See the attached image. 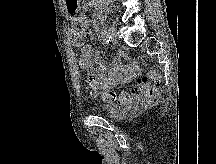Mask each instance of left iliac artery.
<instances>
[{"label":"left iliac artery","mask_w":216,"mask_h":164,"mask_svg":"<svg viewBox=\"0 0 216 164\" xmlns=\"http://www.w3.org/2000/svg\"><path fill=\"white\" fill-rule=\"evenodd\" d=\"M102 35L104 36V40L107 42V43H110L111 42V35L109 33V30L107 27H104L103 30H102Z\"/></svg>","instance_id":"44dca946"}]
</instances>
